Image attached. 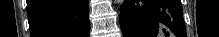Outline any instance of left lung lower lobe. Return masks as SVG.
I'll return each mask as SVG.
<instances>
[{
  "label": "left lung lower lobe",
  "mask_w": 219,
  "mask_h": 37,
  "mask_svg": "<svg viewBox=\"0 0 219 37\" xmlns=\"http://www.w3.org/2000/svg\"><path fill=\"white\" fill-rule=\"evenodd\" d=\"M120 26L124 37H156L162 27L166 37H186L180 0H125Z\"/></svg>",
  "instance_id": "obj_1"
}]
</instances>
